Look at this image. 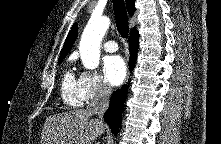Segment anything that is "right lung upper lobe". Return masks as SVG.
Listing matches in <instances>:
<instances>
[{
    "label": "right lung upper lobe",
    "instance_id": "right-lung-upper-lobe-1",
    "mask_svg": "<svg viewBox=\"0 0 221 144\" xmlns=\"http://www.w3.org/2000/svg\"><path fill=\"white\" fill-rule=\"evenodd\" d=\"M134 3H135V0H126L127 10H128V13L130 16H132L135 12ZM135 30H136V28H134L132 30V32ZM77 33H78V27H77V23H75L66 38L64 46H63L60 56L58 58V62L62 61L64 59V57L67 55V53L70 51V49L72 48V45L74 44V42L77 38Z\"/></svg>",
    "mask_w": 221,
    "mask_h": 144
}]
</instances>
